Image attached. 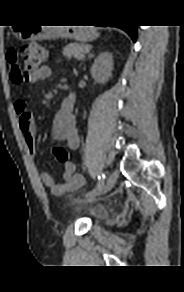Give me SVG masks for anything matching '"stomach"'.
Listing matches in <instances>:
<instances>
[{"label":"stomach","instance_id":"0dacf381","mask_svg":"<svg viewBox=\"0 0 184 292\" xmlns=\"http://www.w3.org/2000/svg\"><path fill=\"white\" fill-rule=\"evenodd\" d=\"M18 34L24 39H43L47 38V31L41 27H30L18 31ZM99 36L97 31L92 28L80 27L73 29H59L51 35V37H69L81 42H88L96 39Z\"/></svg>","mask_w":184,"mask_h":292}]
</instances>
